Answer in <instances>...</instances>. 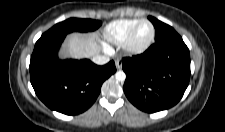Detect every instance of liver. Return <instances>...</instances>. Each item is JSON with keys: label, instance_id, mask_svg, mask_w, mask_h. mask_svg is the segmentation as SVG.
Masks as SVG:
<instances>
[{"label": "liver", "instance_id": "6515ba94", "mask_svg": "<svg viewBox=\"0 0 225 132\" xmlns=\"http://www.w3.org/2000/svg\"><path fill=\"white\" fill-rule=\"evenodd\" d=\"M100 47L93 35L71 33L60 50L61 59L94 58L98 55Z\"/></svg>", "mask_w": 225, "mask_h": 132}]
</instances>
